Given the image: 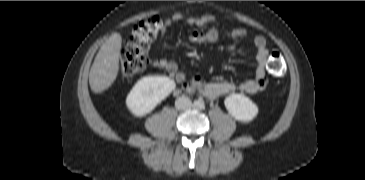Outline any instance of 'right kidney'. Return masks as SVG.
Wrapping results in <instances>:
<instances>
[{
    "mask_svg": "<svg viewBox=\"0 0 365 180\" xmlns=\"http://www.w3.org/2000/svg\"><path fill=\"white\" fill-rule=\"evenodd\" d=\"M174 80L167 76H146L141 78L126 98V106L136 117H143L175 89Z\"/></svg>",
    "mask_w": 365,
    "mask_h": 180,
    "instance_id": "obj_1",
    "label": "right kidney"
}]
</instances>
